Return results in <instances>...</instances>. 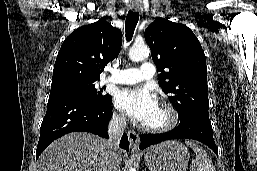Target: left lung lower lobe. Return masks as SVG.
<instances>
[{"label": "left lung lower lobe", "instance_id": "1", "mask_svg": "<svg viewBox=\"0 0 257 171\" xmlns=\"http://www.w3.org/2000/svg\"><path fill=\"white\" fill-rule=\"evenodd\" d=\"M194 139L211 148L218 155V149L213 139V129L209 116L193 114L180 119V124L173 130L164 134H142L140 136V149L150 145L172 139Z\"/></svg>", "mask_w": 257, "mask_h": 171}]
</instances>
